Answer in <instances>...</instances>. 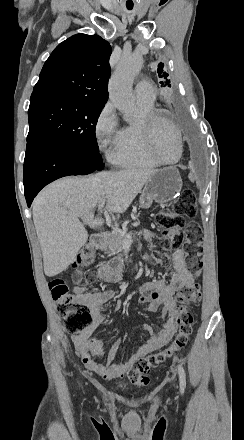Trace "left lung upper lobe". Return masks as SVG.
Listing matches in <instances>:
<instances>
[{"instance_id":"obj_1","label":"left lung upper lobe","mask_w":244,"mask_h":440,"mask_svg":"<svg viewBox=\"0 0 244 440\" xmlns=\"http://www.w3.org/2000/svg\"><path fill=\"white\" fill-rule=\"evenodd\" d=\"M163 66H164V65H163L162 63H160V64L158 65V75H159V77L167 78V77H168V73L164 72V70H163ZM161 83L163 84V86H168V87L171 86V84H170V80H169V79H166V81L161 82Z\"/></svg>"}]
</instances>
